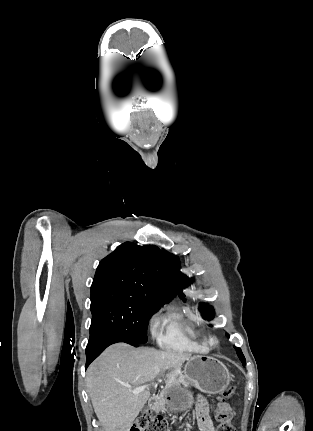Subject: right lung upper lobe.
Masks as SVG:
<instances>
[{"label":"right lung upper lobe","instance_id":"1","mask_svg":"<svg viewBox=\"0 0 313 431\" xmlns=\"http://www.w3.org/2000/svg\"><path fill=\"white\" fill-rule=\"evenodd\" d=\"M111 291L163 305L174 298L176 288L168 262L158 247L126 242L101 260L91 286V297Z\"/></svg>","mask_w":313,"mask_h":431}]
</instances>
